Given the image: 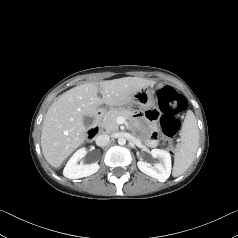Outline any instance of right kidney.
Returning a JSON list of instances; mask_svg holds the SVG:
<instances>
[{
	"instance_id": "ca27d5eb",
	"label": "right kidney",
	"mask_w": 238,
	"mask_h": 238,
	"mask_svg": "<svg viewBox=\"0 0 238 238\" xmlns=\"http://www.w3.org/2000/svg\"><path fill=\"white\" fill-rule=\"evenodd\" d=\"M86 153H87L86 150L84 148H81L73 154V156L67 162L63 170V175L66 178L69 179L83 178L90 176L99 170L98 163H92L89 165H85L82 163L78 164V161H80L83 157H85Z\"/></svg>"
}]
</instances>
